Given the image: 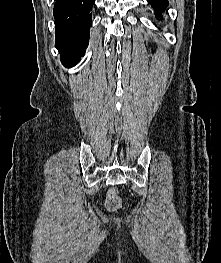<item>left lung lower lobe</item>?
Returning <instances> with one entry per match:
<instances>
[{
    "mask_svg": "<svg viewBox=\"0 0 221 263\" xmlns=\"http://www.w3.org/2000/svg\"><path fill=\"white\" fill-rule=\"evenodd\" d=\"M148 2L155 9V14H156L157 17H161V13L168 6V1L167 0H148Z\"/></svg>",
    "mask_w": 221,
    "mask_h": 263,
    "instance_id": "0a47b994",
    "label": "left lung lower lobe"
}]
</instances>
